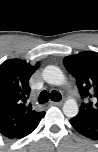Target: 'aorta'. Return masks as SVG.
I'll list each match as a JSON object with an SVG mask.
<instances>
[{
  "instance_id": "1",
  "label": "aorta",
  "mask_w": 98,
  "mask_h": 152,
  "mask_svg": "<svg viewBox=\"0 0 98 152\" xmlns=\"http://www.w3.org/2000/svg\"><path fill=\"white\" fill-rule=\"evenodd\" d=\"M44 80L51 85L60 86L65 82V77L60 68L54 65H48L43 70ZM79 108L75 99L69 98L63 105L64 114L69 117H75L78 114Z\"/></svg>"
}]
</instances>
